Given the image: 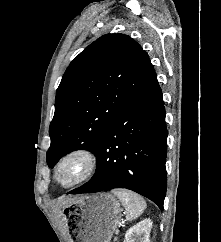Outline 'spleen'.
I'll return each instance as SVG.
<instances>
[{
  "label": "spleen",
  "instance_id": "obj_1",
  "mask_svg": "<svg viewBox=\"0 0 221 242\" xmlns=\"http://www.w3.org/2000/svg\"><path fill=\"white\" fill-rule=\"evenodd\" d=\"M112 193L119 198L126 210V218L134 220L146 209L145 200L138 194L126 189H114Z\"/></svg>",
  "mask_w": 221,
  "mask_h": 242
}]
</instances>
